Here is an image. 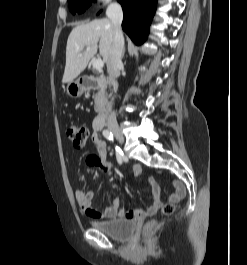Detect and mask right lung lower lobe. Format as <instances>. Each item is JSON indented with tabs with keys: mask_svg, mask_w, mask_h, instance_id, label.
Here are the masks:
<instances>
[{
	"mask_svg": "<svg viewBox=\"0 0 247 265\" xmlns=\"http://www.w3.org/2000/svg\"><path fill=\"white\" fill-rule=\"evenodd\" d=\"M121 3L124 19L123 30L136 45L142 44L149 33V26L156 11L157 0H117Z\"/></svg>",
	"mask_w": 247,
	"mask_h": 265,
	"instance_id": "98d812e1",
	"label": "right lung lower lobe"
}]
</instances>
